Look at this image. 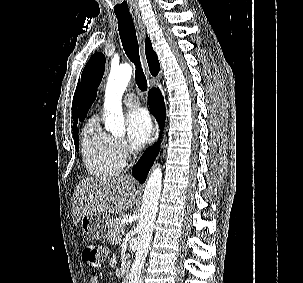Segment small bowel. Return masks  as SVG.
<instances>
[{
  "label": "small bowel",
  "instance_id": "c3829d8e",
  "mask_svg": "<svg viewBox=\"0 0 303 283\" xmlns=\"http://www.w3.org/2000/svg\"><path fill=\"white\" fill-rule=\"evenodd\" d=\"M115 264H116V260H115V258H112L110 260V266H114ZM90 283H101V282H100V279L97 275H93L90 278Z\"/></svg>",
  "mask_w": 303,
  "mask_h": 283
}]
</instances>
